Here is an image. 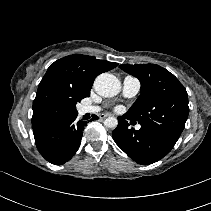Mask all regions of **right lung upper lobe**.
<instances>
[{"mask_svg":"<svg viewBox=\"0 0 211 211\" xmlns=\"http://www.w3.org/2000/svg\"><path fill=\"white\" fill-rule=\"evenodd\" d=\"M117 65L82 54L69 55L51 64L33 103V129L72 114V101L90 96L94 79Z\"/></svg>","mask_w":211,"mask_h":211,"instance_id":"obj_1","label":"right lung upper lobe"}]
</instances>
